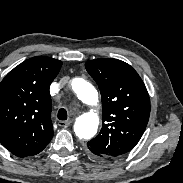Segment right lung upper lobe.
I'll return each instance as SVG.
<instances>
[{
    "label": "right lung upper lobe",
    "instance_id": "1",
    "mask_svg": "<svg viewBox=\"0 0 183 183\" xmlns=\"http://www.w3.org/2000/svg\"><path fill=\"white\" fill-rule=\"evenodd\" d=\"M61 66L50 57H33L0 83V142L17 157L38 154L53 137L49 87Z\"/></svg>",
    "mask_w": 183,
    "mask_h": 183
}]
</instances>
